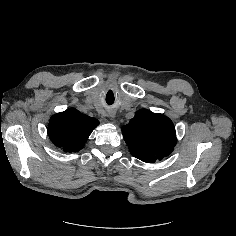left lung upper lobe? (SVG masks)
Returning a JSON list of instances; mask_svg holds the SVG:
<instances>
[{
    "label": "left lung upper lobe",
    "instance_id": "obj_1",
    "mask_svg": "<svg viewBox=\"0 0 236 236\" xmlns=\"http://www.w3.org/2000/svg\"><path fill=\"white\" fill-rule=\"evenodd\" d=\"M122 133L130 153L144 161L155 162L168 156L176 145L175 127L163 114L146 109L136 112Z\"/></svg>",
    "mask_w": 236,
    "mask_h": 236
}]
</instances>
